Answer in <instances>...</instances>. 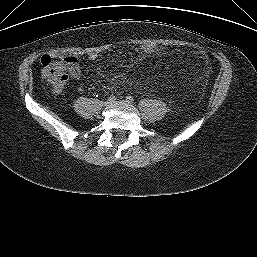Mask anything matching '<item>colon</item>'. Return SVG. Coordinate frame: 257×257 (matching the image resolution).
Listing matches in <instances>:
<instances>
[{
    "mask_svg": "<svg viewBox=\"0 0 257 257\" xmlns=\"http://www.w3.org/2000/svg\"><path fill=\"white\" fill-rule=\"evenodd\" d=\"M155 50H157V48L153 44L146 43L141 46V51L143 53H152ZM41 63L43 76L56 89H61L67 81L65 70L49 55H44L41 59Z\"/></svg>",
    "mask_w": 257,
    "mask_h": 257,
    "instance_id": "1",
    "label": "colon"
}]
</instances>
